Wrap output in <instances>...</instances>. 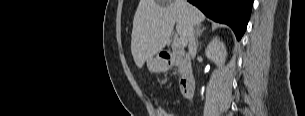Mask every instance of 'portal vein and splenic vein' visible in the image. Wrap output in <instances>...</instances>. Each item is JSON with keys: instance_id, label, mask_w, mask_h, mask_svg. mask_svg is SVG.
<instances>
[{"instance_id": "obj_1", "label": "portal vein and splenic vein", "mask_w": 305, "mask_h": 116, "mask_svg": "<svg viewBox=\"0 0 305 116\" xmlns=\"http://www.w3.org/2000/svg\"><path fill=\"white\" fill-rule=\"evenodd\" d=\"M173 44L175 47H180L181 46V40L179 37H175L174 38V41H173Z\"/></svg>"}]
</instances>
